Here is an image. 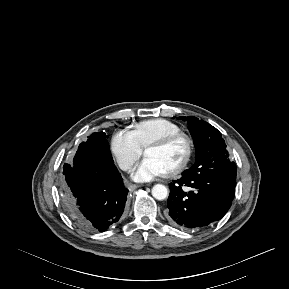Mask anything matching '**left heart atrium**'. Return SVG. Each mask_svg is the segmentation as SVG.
<instances>
[{
  "instance_id": "left-heart-atrium-1",
  "label": "left heart atrium",
  "mask_w": 289,
  "mask_h": 289,
  "mask_svg": "<svg viewBox=\"0 0 289 289\" xmlns=\"http://www.w3.org/2000/svg\"><path fill=\"white\" fill-rule=\"evenodd\" d=\"M166 173L165 168L157 160L147 157L135 168L132 177L136 181L146 182L162 177Z\"/></svg>"
}]
</instances>
